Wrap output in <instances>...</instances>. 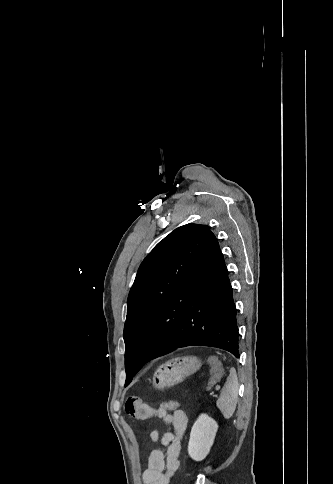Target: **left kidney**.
<instances>
[{"instance_id": "5707ae66", "label": "left kidney", "mask_w": 333, "mask_h": 484, "mask_svg": "<svg viewBox=\"0 0 333 484\" xmlns=\"http://www.w3.org/2000/svg\"><path fill=\"white\" fill-rule=\"evenodd\" d=\"M218 430L215 420L201 414L194 423L188 443V454L195 461H202L210 452Z\"/></svg>"}]
</instances>
